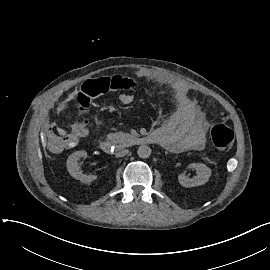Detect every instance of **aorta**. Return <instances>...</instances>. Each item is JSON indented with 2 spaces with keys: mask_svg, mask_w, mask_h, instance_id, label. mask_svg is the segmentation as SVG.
I'll return each instance as SVG.
<instances>
[{
  "mask_svg": "<svg viewBox=\"0 0 270 270\" xmlns=\"http://www.w3.org/2000/svg\"><path fill=\"white\" fill-rule=\"evenodd\" d=\"M137 154L140 158L143 159L149 158L151 155V148L146 145H142L138 148Z\"/></svg>",
  "mask_w": 270,
  "mask_h": 270,
  "instance_id": "762f6f07",
  "label": "aorta"
}]
</instances>
